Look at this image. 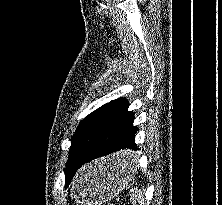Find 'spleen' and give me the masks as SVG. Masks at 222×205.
Wrapping results in <instances>:
<instances>
[{
  "mask_svg": "<svg viewBox=\"0 0 222 205\" xmlns=\"http://www.w3.org/2000/svg\"><path fill=\"white\" fill-rule=\"evenodd\" d=\"M143 194H144V189H142V190L132 189V194H131L132 202H134L135 204L137 202L140 203ZM140 205H142V204H140Z\"/></svg>",
  "mask_w": 222,
  "mask_h": 205,
  "instance_id": "obj_1",
  "label": "spleen"
}]
</instances>
